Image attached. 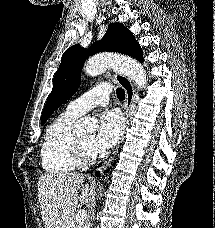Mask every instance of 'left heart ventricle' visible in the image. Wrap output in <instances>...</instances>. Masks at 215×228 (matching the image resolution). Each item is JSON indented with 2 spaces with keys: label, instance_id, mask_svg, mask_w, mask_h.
<instances>
[{
  "label": "left heart ventricle",
  "instance_id": "1",
  "mask_svg": "<svg viewBox=\"0 0 215 228\" xmlns=\"http://www.w3.org/2000/svg\"><path fill=\"white\" fill-rule=\"evenodd\" d=\"M78 139L81 141V143L85 147L92 148V145H93V142H94L93 135L79 137Z\"/></svg>",
  "mask_w": 215,
  "mask_h": 228
}]
</instances>
